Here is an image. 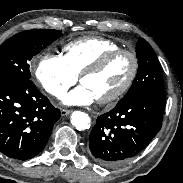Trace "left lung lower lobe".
Wrapping results in <instances>:
<instances>
[{"mask_svg":"<svg viewBox=\"0 0 183 183\" xmlns=\"http://www.w3.org/2000/svg\"><path fill=\"white\" fill-rule=\"evenodd\" d=\"M165 94L142 93L120 101L97 118L90 154L100 165L121 164L140 153L161 129Z\"/></svg>","mask_w":183,"mask_h":183,"instance_id":"left-lung-lower-lobe-1","label":"left lung lower lobe"}]
</instances>
